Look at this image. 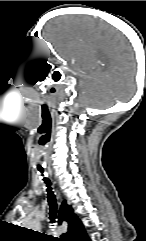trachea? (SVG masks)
I'll return each mask as SVG.
<instances>
[{"instance_id":"3493384b","label":"trachea","mask_w":146,"mask_h":241,"mask_svg":"<svg viewBox=\"0 0 146 241\" xmlns=\"http://www.w3.org/2000/svg\"><path fill=\"white\" fill-rule=\"evenodd\" d=\"M39 171L41 172L42 176H44L43 170L39 169ZM43 180L47 185V198H48V203H49V207H50V212H49L50 223H55L56 213H57L56 198L52 191L51 184H50V181L48 180V178L44 177ZM52 239H53V241H61V239L56 238V237H53Z\"/></svg>"}]
</instances>
